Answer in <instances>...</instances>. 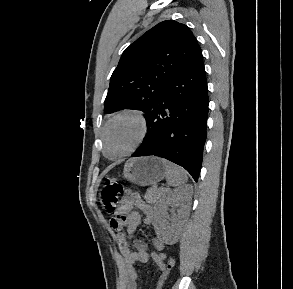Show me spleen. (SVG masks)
<instances>
[{
  "label": "spleen",
  "instance_id": "1",
  "mask_svg": "<svg viewBox=\"0 0 293 289\" xmlns=\"http://www.w3.org/2000/svg\"><path fill=\"white\" fill-rule=\"evenodd\" d=\"M161 160L165 168L166 181L170 186H182L187 182V173L183 168L173 164L172 162H169L168 160Z\"/></svg>",
  "mask_w": 293,
  "mask_h": 289
}]
</instances>
